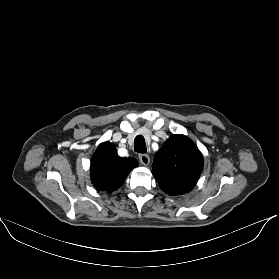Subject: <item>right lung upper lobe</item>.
Listing matches in <instances>:
<instances>
[{"label":"right lung upper lobe","mask_w":279,"mask_h":279,"mask_svg":"<svg viewBox=\"0 0 279 279\" xmlns=\"http://www.w3.org/2000/svg\"><path fill=\"white\" fill-rule=\"evenodd\" d=\"M138 166L135 158H121L114 144L99 145L91 160V181L101 191L113 192L121 187L130 173Z\"/></svg>","instance_id":"obj_1"}]
</instances>
